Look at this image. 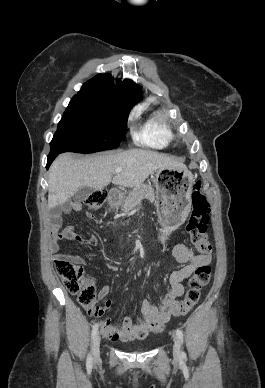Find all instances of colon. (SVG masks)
<instances>
[{"label": "colon", "mask_w": 265, "mask_h": 388, "mask_svg": "<svg viewBox=\"0 0 265 388\" xmlns=\"http://www.w3.org/2000/svg\"><path fill=\"white\" fill-rule=\"evenodd\" d=\"M107 198L105 189H97L86 198V205L92 210L102 207ZM192 211L186 225V231L191 242L200 254H210L211 244L208 240V222L210 215V203L201 190V183L194 185L192 194ZM66 238H74L76 235L72 230L65 229L61 233ZM56 270L62 282L69 292L77 296L78 302L88 309L94 306L96 299V288L90 282L81 266L75 265L66 259H58L55 262ZM211 268L208 265L199 266L190 277L188 290L185 297L174 309L175 315H183L190 311L200 298V291L210 281Z\"/></svg>", "instance_id": "5ec220e1"}]
</instances>
